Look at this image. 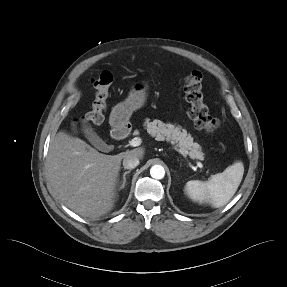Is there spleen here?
Instances as JSON below:
<instances>
[{
    "mask_svg": "<svg viewBox=\"0 0 287 287\" xmlns=\"http://www.w3.org/2000/svg\"><path fill=\"white\" fill-rule=\"evenodd\" d=\"M243 174L244 165L241 161H237L207 181H188L185 192L193 201L208 203L212 207L219 208L226 205L233 197L242 181Z\"/></svg>",
    "mask_w": 287,
    "mask_h": 287,
    "instance_id": "spleen-1",
    "label": "spleen"
}]
</instances>
